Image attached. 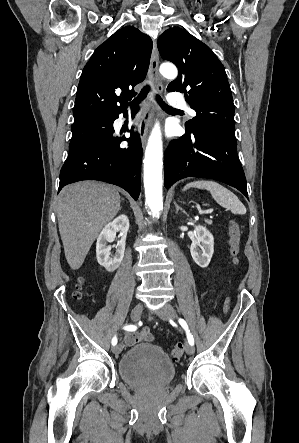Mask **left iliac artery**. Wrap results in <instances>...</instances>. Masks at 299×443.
<instances>
[{
  "label": "left iliac artery",
  "mask_w": 299,
  "mask_h": 443,
  "mask_svg": "<svg viewBox=\"0 0 299 443\" xmlns=\"http://www.w3.org/2000/svg\"><path fill=\"white\" fill-rule=\"evenodd\" d=\"M179 323L186 331L189 344L194 345V338H193L192 334L190 333V330L188 329V325H187L186 321L184 319L180 318Z\"/></svg>",
  "instance_id": "1"
}]
</instances>
